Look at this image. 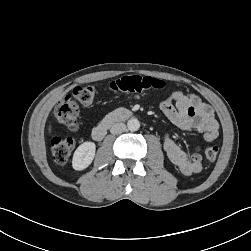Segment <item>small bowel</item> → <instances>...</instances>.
I'll use <instances>...</instances> for the list:
<instances>
[{"mask_svg": "<svg viewBox=\"0 0 251 251\" xmlns=\"http://www.w3.org/2000/svg\"><path fill=\"white\" fill-rule=\"evenodd\" d=\"M159 108L175 126L182 130L200 132L208 142L219 135V125L212 107L194 94L175 91L160 102ZM163 148L171 163L183 175L197 174L202 170L199 148L188 155L169 135L163 138Z\"/></svg>", "mask_w": 251, "mask_h": 251, "instance_id": "small-bowel-1", "label": "small bowel"}]
</instances>
